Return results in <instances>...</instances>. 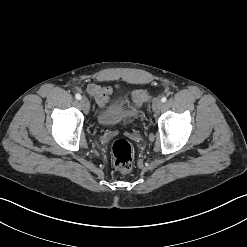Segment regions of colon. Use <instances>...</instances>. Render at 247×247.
I'll return each mask as SVG.
<instances>
[{"instance_id": "obj_1", "label": "colon", "mask_w": 247, "mask_h": 247, "mask_svg": "<svg viewBox=\"0 0 247 247\" xmlns=\"http://www.w3.org/2000/svg\"><path fill=\"white\" fill-rule=\"evenodd\" d=\"M111 154L116 169L127 173L132 169L134 150L132 145L123 138H116L111 143Z\"/></svg>"}]
</instances>
